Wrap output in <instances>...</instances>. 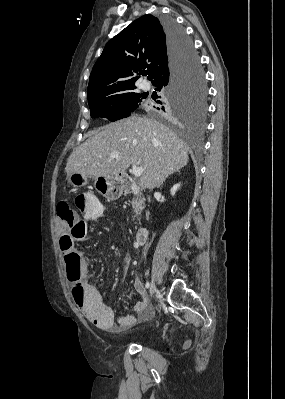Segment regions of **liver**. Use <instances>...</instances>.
<instances>
[{"instance_id": "1", "label": "liver", "mask_w": 285, "mask_h": 399, "mask_svg": "<svg viewBox=\"0 0 285 399\" xmlns=\"http://www.w3.org/2000/svg\"><path fill=\"white\" fill-rule=\"evenodd\" d=\"M112 152L119 157L110 158ZM188 161V148L171 129L154 119L132 115L97 130L72 152L65 170L67 175L116 177L136 164L144 169L141 187L154 189Z\"/></svg>"}]
</instances>
